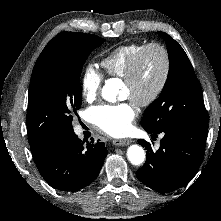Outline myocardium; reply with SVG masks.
I'll return each mask as SVG.
<instances>
[{
  "label": "myocardium",
  "instance_id": "obj_1",
  "mask_svg": "<svg viewBox=\"0 0 221 221\" xmlns=\"http://www.w3.org/2000/svg\"><path fill=\"white\" fill-rule=\"evenodd\" d=\"M151 50H157L161 53L163 58V72L162 76L155 87V89L145 98L136 99L131 98L134 103L140 107H147L153 104L164 92L171 74V56L170 52L165 45L159 42H151L142 47V49L136 54L131 61L126 74L123 77V81L126 85L132 86L136 80L139 69L141 67L144 56Z\"/></svg>",
  "mask_w": 221,
  "mask_h": 221
}]
</instances>
